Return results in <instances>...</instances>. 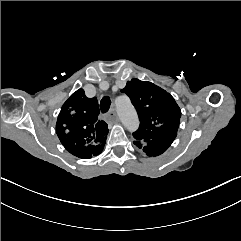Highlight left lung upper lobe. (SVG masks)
Instances as JSON below:
<instances>
[{
	"label": "left lung upper lobe",
	"instance_id": "1",
	"mask_svg": "<svg viewBox=\"0 0 241 241\" xmlns=\"http://www.w3.org/2000/svg\"><path fill=\"white\" fill-rule=\"evenodd\" d=\"M121 92L129 96L139 116L134 144L145 153L161 152L167 135L176 133L179 127L181 110L174 98L155 84L139 79L128 81Z\"/></svg>",
	"mask_w": 241,
	"mask_h": 241
}]
</instances>
